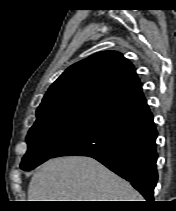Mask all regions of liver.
Listing matches in <instances>:
<instances>
[{"instance_id": "liver-1", "label": "liver", "mask_w": 176, "mask_h": 211, "mask_svg": "<svg viewBox=\"0 0 176 211\" xmlns=\"http://www.w3.org/2000/svg\"><path fill=\"white\" fill-rule=\"evenodd\" d=\"M29 201H142L132 186L90 157L46 161L32 176Z\"/></svg>"}]
</instances>
